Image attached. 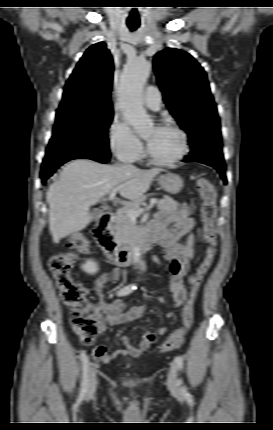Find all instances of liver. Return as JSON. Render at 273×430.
<instances>
[{"instance_id":"obj_1","label":"liver","mask_w":273,"mask_h":430,"mask_svg":"<svg viewBox=\"0 0 273 430\" xmlns=\"http://www.w3.org/2000/svg\"><path fill=\"white\" fill-rule=\"evenodd\" d=\"M162 171L159 168L142 170L132 165H103L89 159L67 163L47 192L49 229L54 243L86 228L92 219L89 207L112 188L121 186L120 195L134 202Z\"/></svg>"}]
</instances>
